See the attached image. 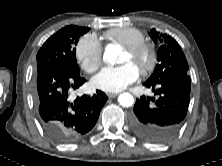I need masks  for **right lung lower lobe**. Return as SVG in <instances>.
I'll return each instance as SVG.
<instances>
[{"label":"right lung lower lobe","mask_w":222,"mask_h":166,"mask_svg":"<svg viewBox=\"0 0 222 166\" xmlns=\"http://www.w3.org/2000/svg\"><path fill=\"white\" fill-rule=\"evenodd\" d=\"M84 82L79 73L62 67L37 74L34 101L39 120L47 135L58 143H71L87 134L108 99L97 90L92 97L83 95L71 100L69 93Z\"/></svg>","instance_id":"obj_1"}]
</instances>
